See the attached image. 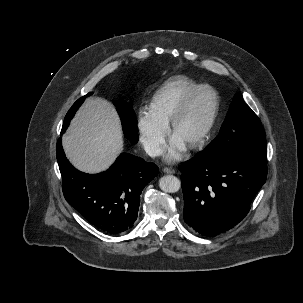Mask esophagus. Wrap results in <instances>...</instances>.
Wrapping results in <instances>:
<instances>
[{
	"mask_svg": "<svg viewBox=\"0 0 303 303\" xmlns=\"http://www.w3.org/2000/svg\"><path fill=\"white\" fill-rule=\"evenodd\" d=\"M163 172L167 173V174H174L175 170L173 168L165 167V168H163Z\"/></svg>",
	"mask_w": 303,
	"mask_h": 303,
	"instance_id": "esophagus-1",
	"label": "esophagus"
}]
</instances>
